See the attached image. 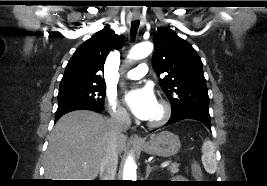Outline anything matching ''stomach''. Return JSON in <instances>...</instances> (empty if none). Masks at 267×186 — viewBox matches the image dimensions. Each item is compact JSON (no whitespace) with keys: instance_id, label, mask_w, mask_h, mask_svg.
I'll use <instances>...</instances> for the list:
<instances>
[{"instance_id":"stomach-1","label":"stomach","mask_w":267,"mask_h":186,"mask_svg":"<svg viewBox=\"0 0 267 186\" xmlns=\"http://www.w3.org/2000/svg\"><path fill=\"white\" fill-rule=\"evenodd\" d=\"M181 147L179 137L172 132L162 131L151 135L148 141L139 145V148L147 154L170 157L178 153Z\"/></svg>"}]
</instances>
